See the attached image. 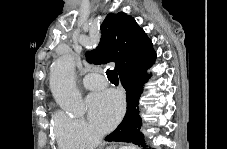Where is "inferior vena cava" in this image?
I'll use <instances>...</instances> for the list:
<instances>
[{
    "mask_svg": "<svg viewBox=\"0 0 227 149\" xmlns=\"http://www.w3.org/2000/svg\"><path fill=\"white\" fill-rule=\"evenodd\" d=\"M95 138H96V143L99 144L102 141V136L99 134H95Z\"/></svg>",
    "mask_w": 227,
    "mask_h": 149,
    "instance_id": "602c4592",
    "label": "inferior vena cava"
}]
</instances>
